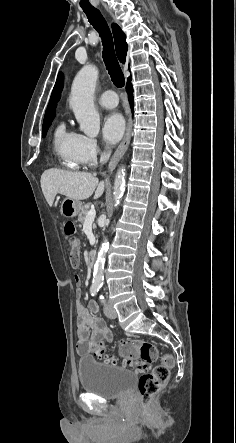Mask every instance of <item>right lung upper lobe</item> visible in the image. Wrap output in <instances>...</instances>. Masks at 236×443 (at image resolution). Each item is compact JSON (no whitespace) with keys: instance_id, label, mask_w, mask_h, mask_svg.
Instances as JSON below:
<instances>
[{"instance_id":"cb5924a9","label":"right lung upper lobe","mask_w":236,"mask_h":443,"mask_svg":"<svg viewBox=\"0 0 236 443\" xmlns=\"http://www.w3.org/2000/svg\"><path fill=\"white\" fill-rule=\"evenodd\" d=\"M112 31L114 36L116 54L118 56V59L124 63L126 58V52L128 49L126 43V36L121 30V28L115 23L112 24ZM62 88H63V75L62 73H60L53 88L43 122L54 118L56 111V104L60 99V93L62 91Z\"/></svg>"}]
</instances>
